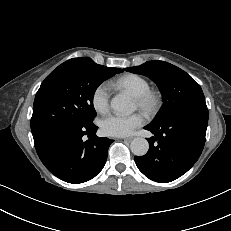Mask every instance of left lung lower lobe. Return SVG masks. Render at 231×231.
<instances>
[{"instance_id":"0a47b994","label":"left lung lower lobe","mask_w":231,"mask_h":231,"mask_svg":"<svg viewBox=\"0 0 231 231\" xmlns=\"http://www.w3.org/2000/svg\"><path fill=\"white\" fill-rule=\"evenodd\" d=\"M208 124L207 107H193L144 129L154 137L147 138L149 151L135 156L139 170L149 179L167 183L185 174L198 160L205 144Z\"/></svg>"}]
</instances>
